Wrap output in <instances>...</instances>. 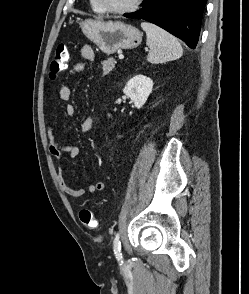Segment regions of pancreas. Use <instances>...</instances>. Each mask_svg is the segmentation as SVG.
<instances>
[{
    "mask_svg": "<svg viewBox=\"0 0 249 294\" xmlns=\"http://www.w3.org/2000/svg\"><path fill=\"white\" fill-rule=\"evenodd\" d=\"M116 61L113 58H108L102 62V69L105 75L109 74L115 68Z\"/></svg>",
    "mask_w": 249,
    "mask_h": 294,
    "instance_id": "1",
    "label": "pancreas"
}]
</instances>
